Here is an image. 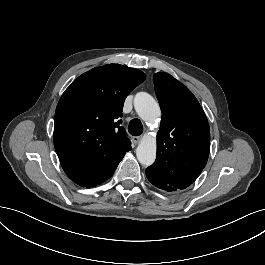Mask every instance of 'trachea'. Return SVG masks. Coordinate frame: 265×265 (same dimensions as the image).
Returning <instances> with one entry per match:
<instances>
[{
  "mask_svg": "<svg viewBox=\"0 0 265 265\" xmlns=\"http://www.w3.org/2000/svg\"><path fill=\"white\" fill-rule=\"evenodd\" d=\"M128 131L133 136H139L143 133V125L139 119H133L128 125Z\"/></svg>",
  "mask_w": 265,
  "mask_h": 265,
  "instance_id": "trachea-1",
  "label": "trachea"
}]
</instances>
